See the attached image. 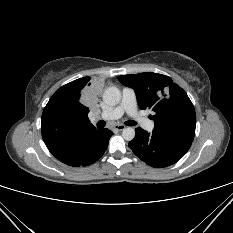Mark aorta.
I'll return each instance as SVG.
<instances>
[{
  "instance_id": "762f6f07",
  "label": "aorta",
  "mask_w": 233,
  "mask_h": 233,
  "mask_svg": "<svg viewBox=\"0 0 233 233\" xmlns=\"http://www.w3.org/2000/svg\"><path fill=\"white\" fill-rule=\"evenodd\" d=\"M121 100V91L117 87H108L103 93V101L111 106L117 105ZM122 136L126 141H131L135 137V130L131 127L123 129Z\"/></svg>"
}]
</instances>
